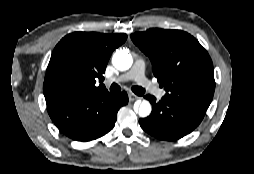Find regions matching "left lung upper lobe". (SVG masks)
Masks as SVG:
<instances>
[{"label":"left lung upper lobe","mask_w":254,"mask_h":174,"mask_svg":"<svg viewBox=\"0 0 254 174\" xmlns=\"http://www.w3.org/2000/svg\"><path fill=\"white\" fill-rule=\"evenodd\" d=\"M131 39L151 60L165 97L208 108L215 90L212 60L190 34L180 30L149 29Z\"/></svg>","instance_id":"5c2ea615"}]
</instances>
